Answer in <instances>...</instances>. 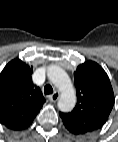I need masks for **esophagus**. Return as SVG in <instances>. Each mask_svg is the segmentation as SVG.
<instances>
[{
	"label": "esophagus",
	"mask_w": 118,
	"mask_h": 142,
	"mask_svg": "<svg viewBox=\"0 0 118 142\" xmlns=\"http://www.w3.org/2000/svg\"><path fill=\"white\" fill-rule=\"evenodd\" d=\"M60 97V93L58 91L54 92L52 95L49 96V100L51 102H56Z\"/></svg>",
	"instance_id": "esophagus-1"
}]
</instances>
